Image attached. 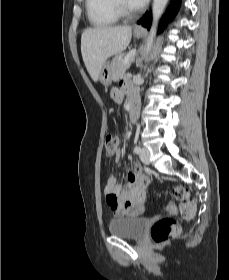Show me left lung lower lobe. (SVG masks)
Segmentation results:
<instances>
[{"mask_svg": "<svg viewBox=\"0 0 229 280\" xmlns=\"http://www.w3.org/2000/svg\"><path fill=\"white\" fill-rule=\"evenodd\" d=\"M180 0H172L171 5L168 9V12L166 13L162 24L164 25L167 23L169 20L173 18L175 13L177 12L179 8ZM151 20H152V15L150 13H146L142 19L138 22V24H141L143 27L150 28L151 26Z\"/></svg>", "mask_w": 229, "mask_h": 280, "instance_id": "obj_1", "label": "left lung lower lobe"}]
</instances>
